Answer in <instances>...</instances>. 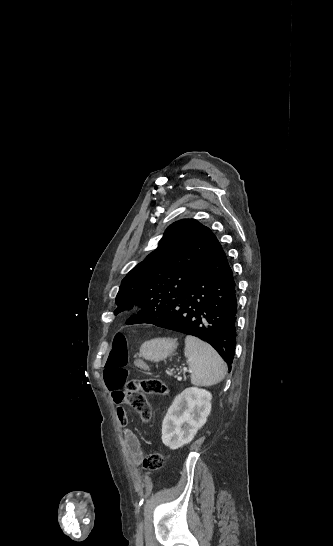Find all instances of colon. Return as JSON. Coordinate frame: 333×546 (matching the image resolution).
Listing matches in <instances>:
<instances>
[{"label":"colon","mask_w":333,"mask_h":546,"mask_svg":"<svg viewBox=\"0 0 333 546\" xmlns=\"http://www.w3.org/2000/svg\"><path fill=\"white\" fill-rule=\"evenodd\" d=\"M128 341L124 334L114 337L111 351L105 364L104 381L110 391L122 390V400L138 412L145 422L151 420V411L143 393L167 395L165 383L157 379L128 378ZM164 455L159 450L151 451L143 465L148 470H159L164 465Z\"/></svg>","instance_id":"colon-1"}]
</instances>
